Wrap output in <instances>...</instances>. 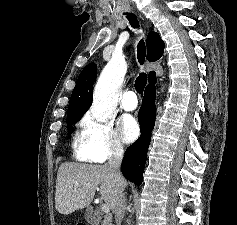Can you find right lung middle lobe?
Returning <instances> with one entry per match:
<instances>
[{
	"label": "right lung middle lobe",
	"instance_id": "obj_1",
	"mask_svg": "<svg viewBox=\"0 0 237 225\" xmlns=\"http://www.w3.org/2000/svg\"><path fill=\"white\" fill-rule=\"evenodd\" d=\"M85 114V112L77 111L67 114V125L71 126L75 124L77 121H79L82 116ZM71 133H69L70 135Z\"/></svg>",
	"mask_w": 237,
	"mask_h": 225
}]
</instances>
